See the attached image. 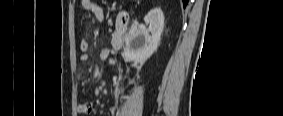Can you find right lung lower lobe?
<instances>
[{
	"instance_id": "1",
	"label": "right lung lower lobe",
	"mask_w": 283,
	"mask_h": 116,
	"mask_svg": "<svg viewBox=\"0 0 283 116\" xmlns=\"http://www.w3.org/2000/svg\"><path fill=\"white\" fill-rule=\"evenodd\" d=\"M188 0H183V6L186 7Z\"/></svg>"
}]
</instances>
